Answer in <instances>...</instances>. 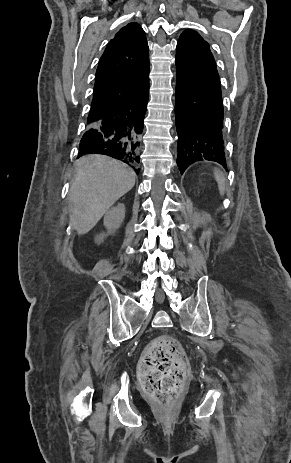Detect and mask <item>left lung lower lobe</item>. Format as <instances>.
<instances>
[{
    "mask_svg": "<svg viewBox=\"0 0 291 463\" xmlns=\"http://www.w3.org/2000/svg\"><path fill=\"white\" fill-rule=\"evenodd\" d=\"M221 91L176 72L177 165L181 174L196 161L226 169Z\"/></svg>",
    "mask_w": 291,
    "mask_h": 463,
    "instance_id": "left-lung-lower-lobe-1",
    "label": "left lung lower lobe"
}]
</instances>
